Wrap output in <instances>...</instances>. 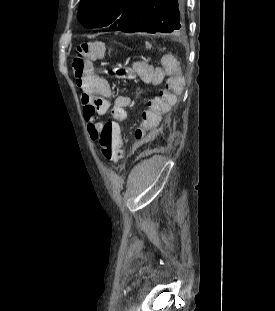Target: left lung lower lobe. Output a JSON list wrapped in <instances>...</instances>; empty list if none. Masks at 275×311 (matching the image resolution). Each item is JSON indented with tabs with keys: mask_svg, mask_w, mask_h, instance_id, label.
<instances>
[{
	"mask_svg": "<svg viewBox=\"0 0 275 311\" xmlns=\"http://www.w3.org/2000/svg\"><path fill=\"white\" fill-rule=\"evenodd\" d=\"M182 0H143L121 28L127 33H174L184 31Z\"/></svg>",
	"mask_w": 275,
	"mask_h": 311,
	"instance_id": "obj_1",
	"label": "left lung lower lobe"
}]
</instances>
